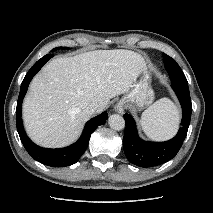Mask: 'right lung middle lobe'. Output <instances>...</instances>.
I'll use <instances>...</instances> for the list:
<instances>
[{
  "instance_id": "1",
  "label": "right lung middle lobe",
  "mask_w": 213,
  "mask_h": 213,
  "mask_svg": "<svg viewBox=\"0 0 213 213\" xmlns=\"http://www.w3.org/2000/svg\"><path fill=\"white\" fill-rule=\"evenodd\" d=\"M60 48H62V49H63L64 47H58V48H55V49H53V50H57V49H60Z\"/></svg>"
}]
</instances>
